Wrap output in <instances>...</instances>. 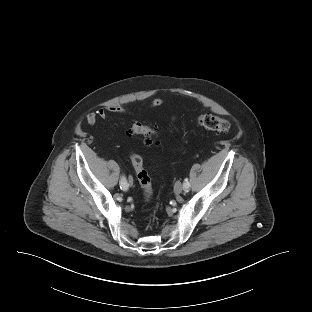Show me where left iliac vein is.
Instances as JSON below:
<instances>
[{"instance_id":"4c4485c4","label":"left iliac vein","mask_w":312,"mask_h":312,"mask_svg":"<svg viewBox=\"0 0 312 312\" xmlns=\"http://www.w3.org/2000/svg\"><path fill=\"white\" fill-rule=\"evenodd\" d=\"M184 189V186L182 185V183L177 182L174 186V191L176 194H180Z\"/></svg>"}]
</instances>
